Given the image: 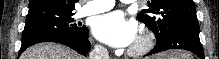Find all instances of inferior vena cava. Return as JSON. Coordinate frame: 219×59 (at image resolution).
I'll return each mask as SVG.
<instances>
[{
    "label": "inferior vena cava",
    "instance_id": "obj_1",
    "mask_svg": "<svg viewBox=\"0 0 219 59\" xmlns=\"http://www.w3.org/2000/svg\"><path fill=\"white\" fill-rule=\"evenodd\" d=\"M89 59H109V53L103 46L96 45L90 52Z\"/></svg>",
    "mask_w": 219,
    "mask_h": 59
}]
</instances>
